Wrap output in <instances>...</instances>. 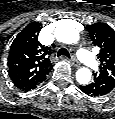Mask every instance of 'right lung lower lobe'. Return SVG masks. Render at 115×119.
Returning <instances> with one entry per match:
<instances>
[{"label": "right lung lower lobe", "mask_w": 115, "mask_h": 119, "mask_svg": "<svg viewBox=\"0 0 115 119\" xmlns=\"http://www.w3.org/2000/svg\"><path fill=\"white\" fill-rule=\"evenodd\" d=\"M45 80V79H44ZM43 80V81H44ZM42 83V81L40 82V83H38V84H36V85H33V86H31V87H29V88H25V89H23V90H25V91H29V90H32V89H35L38 85H40Z\"/></svg>", "instance_id": "obj_1"}]
</instances>
